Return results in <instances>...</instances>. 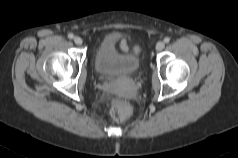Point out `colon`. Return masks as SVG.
I'll list each match as a JSON object with an SVG mask.
<instances>
[{"label": "colon", "mask_w": 238, "mask_h": 158, "mask_svg": "<svg viewBox=\"0 0 238 158\" xmlns=\"http://www.w3.org/2000/svg\"><path fill=\"white\" fill-rule=\"evenodd\" d=\"M119 48L121 51H128V45L126 43V41H121L119 44ZM135 52H139V48L136 47ZM111 117L115 120V121H122L125 120L126 118H128L131 114V107L130 105L124 101V100H120V99H113L112 100V104H111Z\"/></svg>", "instance_id": "5ec220e1"}]
</instances>
